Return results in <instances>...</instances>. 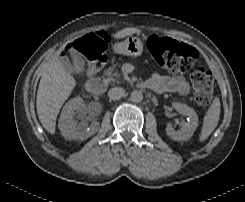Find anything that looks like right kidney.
Segmentation results:
<instances>
[{
  "mask_svg": "<svg viewBox=\"0 0 245 202\" xmlns=\"http://www.w3.org/2000/svg\"><path fill=\"white\" fill-rule=\"evenodd\" d=\"M82 98L75 97L69 100L62 109L58 127L61 134L67 140H86L88 137L94 135L98 129V123H92L87 127L88 122L82 121L77 125V121L74 118L75 111L81 108Z\"/></svg>",
  "mask_w": 245,
  "mask_h": 202,
  "instance_id": "1",
  "label": "right kidney"
}]
</instances>
